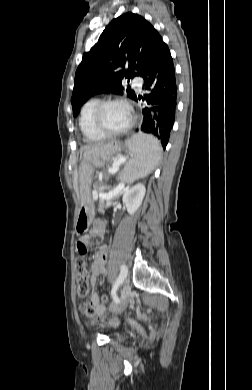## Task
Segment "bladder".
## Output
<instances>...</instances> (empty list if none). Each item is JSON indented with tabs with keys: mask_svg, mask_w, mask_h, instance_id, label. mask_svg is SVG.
Returning a JSON list of instances; mask_svg holds the SVG:
<instances>
[{
	"mask_svg": "<svg viewBox=\"0 0 252 390\" xmlns=\"http://www.w3.org/2000/svg\"><path fill=\"white\" fill-rule=\"evenodd\" d=\"M114 338L117 339V340H123V339H124V336L115 333V334H114Z\"/></svg>",
	"mask_w": 252,
	"mask_h": 390,
	"instance_id": "obj_1",
	"label": "bladder"
}]
</instances>
